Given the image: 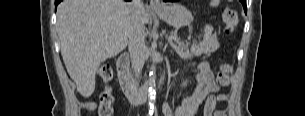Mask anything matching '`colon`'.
Here are the masks:
<instances>
[{
    "mask_svg": "<svg viewBox=\"0 0 305 116\" xmlns=\"http://www.w3.org/2000/svg\"><path fill=\"white\" fill-rule=\"evenodd\" d=\"M222 20L225 25V29L227 32H231L234 30L238 23V14L233 9H224L222 12ZM232 73V66L229 63H222L219 66L217 72V83L220 86H226L229 83L230 76ZM98 76L105 82H110L113 77L112 67L104 63L98 69ZM114 102V97L112 94V90L110 87H107L101 95L100 105L98 109L99 116H112L113 108L112 104Z\"/></svg>",
    "mask_w": 305,
    "mask_h": 116,
    "instance_id": "1",
    "label": "colon"
}]
</instances>
